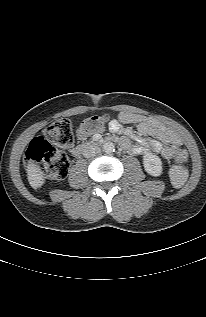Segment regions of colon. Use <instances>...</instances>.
Here are the masks:
<instances>
[{"label": "colon", "mask_w": 206, "mask_h": 317, "mask_svg": "<svg viewBox=\"0 0 206 317\" xmlns=\"http://www.w3.org/2000/svg\"><path fill=\"white\" fill-rule=\"evenodd\" d=\"M108 122L107 115H95L85 119L80 127L81 136H89L102 132ZM74 135L72 124L67 119H60L44 132L35 137L26 152V161L39 167L41 172L50 179H64L70 168V162L66 154L59 149L69 147L73 144ZM187 155L184 151L178 152L175 164L171 169V181L176 186H181L187 179L188 170L184 166Z\"/></svg>", "instance_id": "5ec220e1"}]
</instances>
